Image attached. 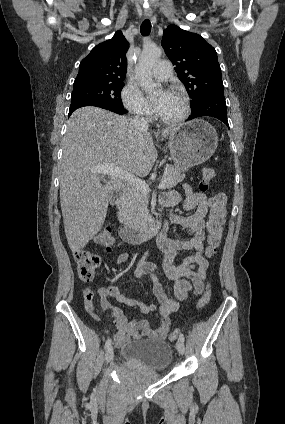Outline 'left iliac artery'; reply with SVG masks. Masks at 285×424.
Listing matches in <instances>:
<instances>
[{"label":"left iliac artery","mask_w":285,"mask_h":424,"mask_svg":"<svg viewBox=\"0 0 285 424\" xmlns=\"http://www.w3.org/2000/svg\"><path fill=\"white\" fill-rule=\"evenodd\" d=\"M179 339L184 342L185 338L183 334H180Z\"/></svg>","instance_id":"left-iliac-artery-1"}]
</instances>
